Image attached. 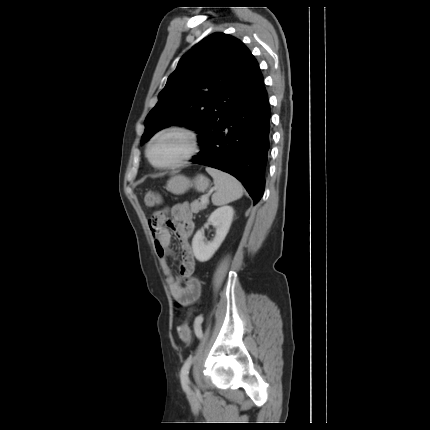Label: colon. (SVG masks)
Wrapping results in <instances>:
<instances>
[{"label":"colon","mask_w":430,"mask_h":430,"mask_svg":"<svg viewBox=\"0 0 430 430\" xmlns=\"http://www.w3.org/2000/svg\"><path fill=\"white\" fill-rule=\"evenodd\" d=\"M161 202V197L158 193L148 192L145 196V203L148 207H154ZM199 325L194 326V330H199ZM179 337L184 343H190L192 339V332L189 326L185 325L179 332Z\"/></svg>","instance_id":"5ec220e1"}]
</instances>
